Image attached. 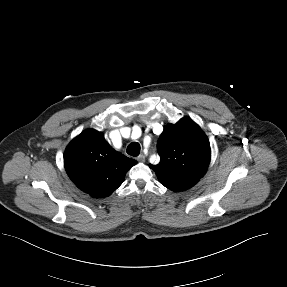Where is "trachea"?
<instances>
[{
  "mask_svg": "<svg viewBox=\"0 0 287 287\" xmlns=\"http://www.w3.org/2000/svg\"><path fill=\"white\" fill-rule=\"evenodd\" d=\"M140 153V144L138 142H133L127 147V154L131 156H138Z\"/></svg>",
  "mask_w": 287,
  "mask_h": 287,
  "instance_id": "obj_1",
  "label": "trachea"
}]
</instances>
